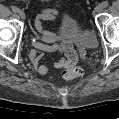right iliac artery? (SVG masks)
Segmentation results:
<instances>
[{"instance_id": "1", "label": "right iliac artery", "mask_w": 119, "mask_h": 119, "mask_svg": "<svg viewBox=\"0 0 119 119\" xmlns=\"http://www.w3.org/2000/svg\"><path fill=\"white\" fill-rule=\"evenodd\" d=\"M12 11L15 12V13H17L19 11V9L16 6H13L12 7Z\"/></svg>"}]
</instances>
